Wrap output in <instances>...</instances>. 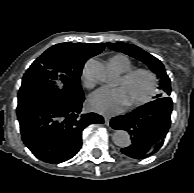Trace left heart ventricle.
Here are the masks:
<instances>
[{
  "mask_svg": "<svg viewBox=\"0 0 194 193\" xmlns=\"http://www.w3.org/2000/svg\"><path fill=\"white\" fill-rule=\"evenodd\" d=\"M148 85V79L144 75H137L126 83L119 82V86L124 91L127 104L143 96L148 89Z\"/></svg>",
  "mask_w": 194,
  "mask_h": 193,
  "instance_id": "1",
  "label": "left heart ventricle"
}]
</instances>
